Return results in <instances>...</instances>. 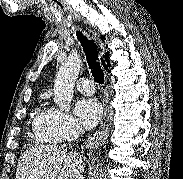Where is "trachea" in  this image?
<instances>
[{"instance_id": "obj_1", "label": "trachea", "mask_w": 183, "mask_h": 179, "mask_svg": "<svg viewBox=\"0 0 183 179\" xmlns=\"http://www.w3.org/2000/svg\"><path fill=\"white\" fill-rule=\"evenodd\" d=\"M77 38L80 40L83 50L86 55V59L91 69L94 81L103 84L104 83V72L98 62L97 47L92 40H88L80 31L76 33Z\"/></svg>"}]
</instances>
